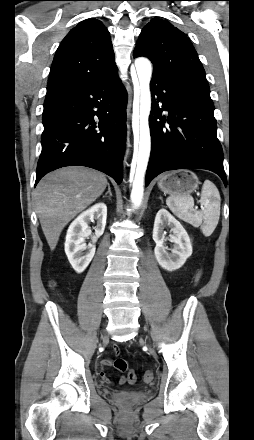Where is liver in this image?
<instances>
[{
    "mask_svg": "<svg viewBox=\"0 0 254 440\" xmlns=\"http://www.w3.org/2000/svg\"><path fill=\"white\" fill-rule=\"evenodd\" d=\"M107 184L103 173L79 166L57 169L42 178L34 191V200L52 251L63 228L101 196Z\"/></svg>",
    "mask_w": 254,
    "mask_h": 440,
    "instance_id": "liver-1",
    "label": "liver"
}]
</instances>
